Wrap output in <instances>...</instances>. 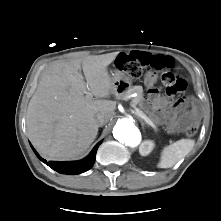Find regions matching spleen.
<instances>
[{
	"label": "spleen",
	"mask_w": 221,
	"mask_h": 221,
	"mask_svg": "<svg viewBox=\"0 0 221 221\" xmlns=\"http://www.w3.org/2000/svg\"><path fill=\"white\" fill-rule=\"evenodd\" d=\"M192 139H181L165 146L161 152L159 168H170L183 159L194 147Z\"/></svg>",
	"instance_id": "spleen-1"
}]
</instances>
